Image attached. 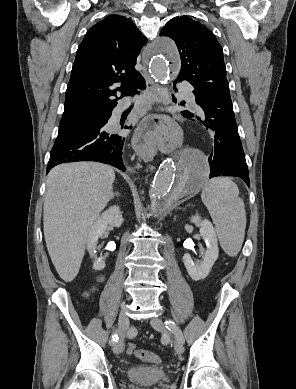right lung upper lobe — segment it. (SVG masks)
I'll use <instances>...</instances> for the list:
<instances>
[{
    "mask_svg": "<svg viewBox=\"0 0 296 389\" xmlns=\"http://www.w3.org/2000/svg\"><path fill=\"white\" fill-rule=\"evenodd\" d=\"M146 42L124 16L110 15L91 27L77 50L62 118L111 114L119 99L115 92L129 95L143 79L134 66ZM115 83L121 86L112 90Z\"/></svg>",
    "mask_w": 296,
    "mask_h": 389,
    "instance_id": "1",
    "label": "right lung upper lobe"
}]
</instances>
